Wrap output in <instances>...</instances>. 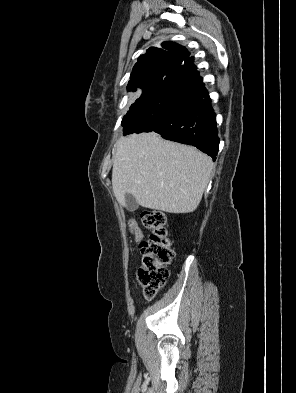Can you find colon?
<instances>
[{
	"mask_svg": "<svg viewBox=\"0 0 296 393\" xmlns=\"http://www.w3.org/2000/svg\"><path fill=\"white\" fill-rule=\"evenodd\" d=\"M141 221L150 232V237L143 240L136 221H129V230L139 244L142 254L137 271V278L146 297H154L168 278V265L174 257V250L168 236L166 216L159 210H145Z\"/></svg>",
	"mask_w": 296,
	"mask_h": 393,
	"instance_id": "obj_1",
	"label": "colon"
}]
</instances>
